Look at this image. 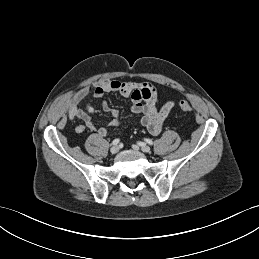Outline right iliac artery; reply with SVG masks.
<instances>
[{
    "mask_svg": "<svg viewBox=\"0 0 259 259\" xmlns=\"http://www.w3.org/2000/svg\"><path fill=\"white\" fill-rule=\"evenodd\" d=\"M119 142H120L119 139H115V140H113L112 145H117Z\"/></svg>",
    "mask_w": 259,
    "mask_h": 259,
    "instance_id": "1",
    "label": "right iliac artery"
}]
</instances>
